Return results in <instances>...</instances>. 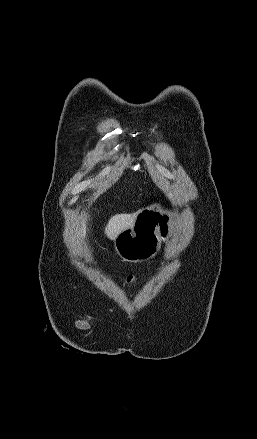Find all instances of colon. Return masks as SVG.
<instances>
[{"instance_id": "1", "label": "colon", "mask_w": 257, "mask_h": 439, "mask_svg": "<svg viewBox=\"0 0 257 439\" xmlns=\"http://www.w3.org/2000/svg\"><path fill=\"white\" fill-rule=\"evenodd\" d=\"M127 282H128V283H132V282H134V277L129 276V277L127 278Z\"/></svg>"}]
</instances>
